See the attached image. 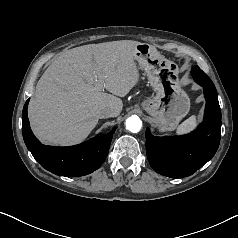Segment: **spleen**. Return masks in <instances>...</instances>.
<instances>
[{
  "label": "spleen",
  "mask_w": 238,
  "mask_h": 238,
  "mask_svg": "<svg viewBox=\"0 0 238 238\" xmlns=\"http://www.w3.org/2000/svg\"><path fill=\"white\" fill-rule=\"evenodd\" d=\"M196 126H197V118L195 115H192L191 117L186 119L184 122H182L178 126L176 133L178 135L187 134V133L191 132L192 130H194L196 128Z\"/></svg>",
  "instance_id": "3e777b00"
}]
</instances>
